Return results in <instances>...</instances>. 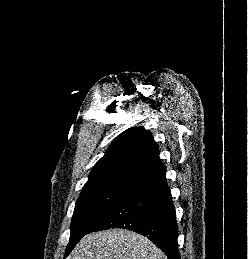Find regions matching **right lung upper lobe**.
I'll list each match as a JSON object with an SVG mask.
<instances>
[{"mask_svg":"<svg viewBox=\"0 0 248 259\" xmlns=\"http://www.w3.org/2000/svg\"><path fill=\"white\" fill-rule=\"evenodd\" d=\"M165 169L152 135L143 128H132L119 135L92 169L84 186L106 182L135 184Z\"/></svg>","mask_w":248,"mask_h":259,"instance_id":"right-lung-upper-lobe-1","label":"right lung upper lobe"}]
</instances>
